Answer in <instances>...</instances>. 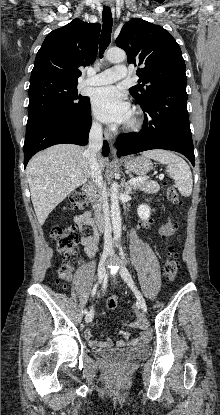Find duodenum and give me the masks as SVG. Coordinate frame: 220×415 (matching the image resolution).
I'll return each instance as SVG.
<instances>
[{
	"label": "duodenum",
	"mask_w": 220,
	"mask_h": 415,
	"mask_svg": "<svg viewBox=\"0 0 220 415\" xmlns=\"http://www.w3.org/2000/svg\"><path fill=\"white\" fill-rule=\"evenodd\" d=\"M95 190H96L95 185H86L84 187L85 193L88 195V197L90 198L91 203L93 204V206L95 208V221H96L95 224H96V227H97L98 234L100 235V232H102L104 224H105V219L103 217L102 210L98 209L95 205V201H94Z\"/></svg>",
	"instance_id": "1"
}]
</instances>
